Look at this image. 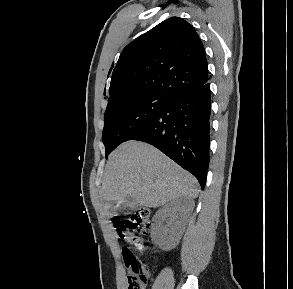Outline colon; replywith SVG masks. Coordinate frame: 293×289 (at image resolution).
I'll return each instance as SVG.
<instances>
[{
    "instance_id": "obj_1",
    "label": "colon",
    "mask_w": 293,
    "mask_h": 289,
    "mask_svg": "<svg viewBox=\"0 0 293 289\" xmlns=\"http://www.w3.org/2000/svg\"><path fill=\"white\" fill-rule=\"evenodd\" d=\"M149 227L150 215L146 209H137L126 218L114 219V228L118 238L130 242L139 250H144L147 244L136 233L146 234ZM122 254L128 272L127 289H144L150 279L148 265L138 259L129 248H124Z\"/></svg>"
}]
</instances>
